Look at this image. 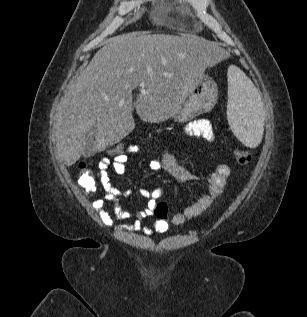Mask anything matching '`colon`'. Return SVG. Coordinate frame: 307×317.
<instances>
[{"label":"colon","mask_w":307,"mask_h":317,"mask_svg":"<svg viewBox=\"0 0 307 317\" xmlns=\"http://www.w3.org/2000/svg\"><path fill=\"white\" fill-rule=\"evenodd\" d=\"M132 146L133 145H125V144H114L110 146L106 152L111 159L116 158H127L130 154H132ZM235 157L237 162L240 165H249L252 162V156L249 152L244 150H237L235 152ZM80 168V178L79 184L82 187L83 191L87 195H92L97 190V182L95 176L91 169L87 167L84 162L79 164ZM155 215L162 219L166 220L168 218V209L167 205L164 202H159L154 210Z\"/></svg>","instance_id":"colon-1"}]
</instances>
